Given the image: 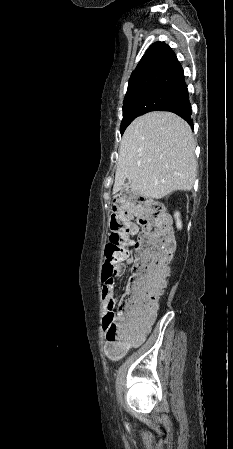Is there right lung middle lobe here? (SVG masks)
<instances>
[{
    "label": "right lung middle lobe",
    "instance_id": "dd1d6c3e",
    "mask_svg": "<svg viewBox=\"0 0 233 449\" xmlns=\"http://www.w3.org/2000/svg\"><path fill=\"white\" fill-rule=\"evenodd\" d=\"M183 96L182 90L168 87H154L126 95L122 108L121 134L136 117L159 110L168 103L180 100Z\"/></svg>",
    "mask_w": 233,
    "mask_h": 449
}]
</instances>
